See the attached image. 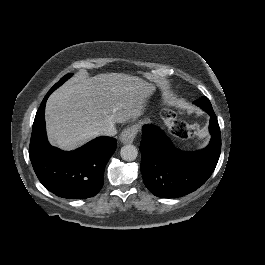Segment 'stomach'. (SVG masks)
Listing matches in <instances>:
<instances>
[{
  "label": "stomach",
  "mask_w": 265,
  "mask_h": 265,
  "mask_svg": "<svg viewBox=\"0 0 265 265\" xmlns=\"http://www.w3.org/2000/svg\"><path fill=\"white\" fill-rule=\"evenodd\" d=\"M143 118H144L146 123L150 122V117L148 115H145ZM137 125H139L141 128V124H137Z\"/></svg>",
  "instance_id": "obj_1"
}]
</instances>
